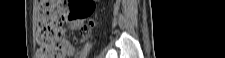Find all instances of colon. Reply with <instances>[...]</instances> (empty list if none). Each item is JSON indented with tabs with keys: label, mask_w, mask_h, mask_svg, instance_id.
I'll list each match as a JSON object with an SVG mask.
<instances>
[{
	"label": "colon",
	"mask_w": 225,
	"mask_h": 58,
	"mask_svg": "<svg viewBox=\"0 0 225 58\" xmlns=\"http://www.w3.org/2000/svg\"><path fill=\"white\" fill-rule=\"evenodd\" d=\"M95 10L94 1L38 0L36 40L40 48L38 58H65L63 46L65 19L82 20ZM93 25V22H90ZM86 29V28H85Z\"/></svg>",
	"instance_id": "obj_1"
}]
</instances>
